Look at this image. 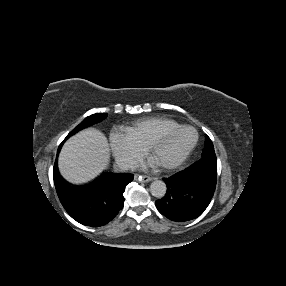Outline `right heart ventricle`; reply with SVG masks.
Here are the masks:
<instances>
[{
  "instance_id": "e07e8e85",
  "label": "right heart ventricle",
  "mask_w": 286,
  "mask_h": 286,
  "mask_svg": "<svg viewBox=\"0 0 286 286\" xmlns=\"http://www.w3.org/2000/svg\"><path fill=\"white\" fill-rule=\"evenodd\" d=\"M181 124L167 117H145L136 120L130 126L126 127V131L143 147L154 138L173 130Z\"/></svg>"
}]
</instances>
